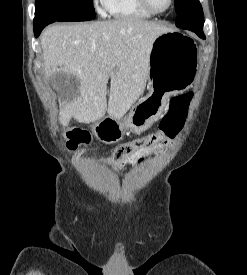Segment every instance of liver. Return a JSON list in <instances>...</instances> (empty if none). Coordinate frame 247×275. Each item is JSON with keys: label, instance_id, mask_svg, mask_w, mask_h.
<instances>
[{"label": "liver", "instance_id": "obj_1", "mask_svg": "<svg viewBox=\"0 0 247 275\" xmlns=\"http://www.w3.org/2000/svg\"><path fill=\"white\" fill-rule=\"evenodd\" d=\"M169 28L138 18L55 25L41 36L47 78L65 73L79 81L78 92L61 96L59 120L95 122L108 112L120 120L143 93L152 43ZM110 93L107 104V83Z\"/></svg>", "mask_w": 247, "mask_h": 275}]
</instances>
